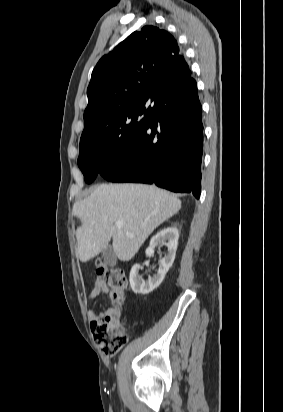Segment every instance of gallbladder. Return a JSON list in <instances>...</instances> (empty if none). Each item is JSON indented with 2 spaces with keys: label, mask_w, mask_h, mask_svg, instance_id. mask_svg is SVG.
I'll return each instance as SVG.
<instances>
[{
  "label": "gallbladder",
  "mask_w": 283,
  "mask_h": 412,
  "mask_svg": "<svg viewBox=\"0 0 283 412\" xmlns=\"http://www.w3.org/2000/svg\"><path fill=\"white\" fill-rule=\"evenodd\" d=\"M103 261L106 266L113 267L116 262V255L113 247L109 245L103 252Z\"/></svg>",
  "instance_id": "gallbladder-1"
}]
</instances>
